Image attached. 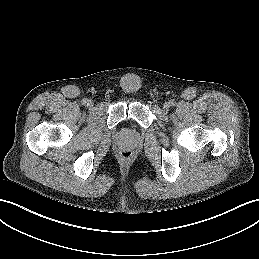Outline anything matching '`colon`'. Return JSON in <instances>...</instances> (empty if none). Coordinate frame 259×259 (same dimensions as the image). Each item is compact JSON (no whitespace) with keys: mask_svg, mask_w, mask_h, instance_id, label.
Here are the masks:
<instances>
[{"mask_svg":"<svg viewBox=\"0 0 259 259\" xmlns=\"http://www.w3.org/2000/svg\"><path fill=\"white\" fill-rule=\"evenodd\" d=\"M120 155L123 160H129L132 157V152L130 150H124Z\"/></svg>","mask_w":259,"mask_h":259,"instance_id":"1","label":"colon"}]
</instances>
